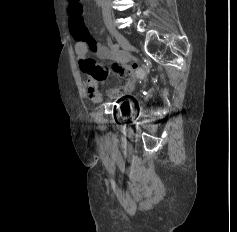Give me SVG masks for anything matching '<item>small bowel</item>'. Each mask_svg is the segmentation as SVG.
Wrapping results in <instances>:
<instances>
[{"instance_id":"1","label":"small bowel","mask_w":237,"mask_h":232,"mask_svg":"<svg viewBox=\"0 0 237 232\" xmlns=\"http://www.w3.org/2000/svg\"><path fill=\"white\" fill-rule=\"evenodd\" d=\"M72 33L75 38V52L80 71L85 80L88 96L92 101L100 102L102 100L100 83L111 74L119 75L125 81L120 87L109 90L110 97L119 98L132 92L135 85L133 71L125 65L123 57L117 50L96 41L87 28L82 34L73 30ZM90 52L95 53L101 59L112 60L114 63L109 68H105L88 56Z\"/></svg>"}]
</instances>
